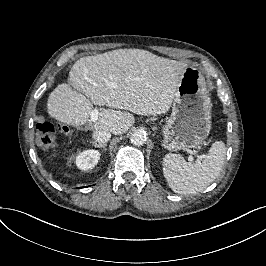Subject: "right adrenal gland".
I'll return each mask as SVG.
<instances>
[{"instance_id":"1","label":"right adrenal gland","mask_w":266,"mask_h":266,"mask_svg":"<svg viewBox=\"0 0 266 266\" xmlns=\"http://www.w3.org/2000/svg\"><path fill=\"white\" fill-rule=\"evenodd\" d=\"M90 143H92V145L94 146V147H98V148H104V150H106V146H107V144L106 143H100V144H98V143H96L95 141H91Z\"/></svg>"}]
</instances>
